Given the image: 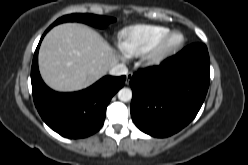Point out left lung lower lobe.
<instances>
[{
	"instance_id": "obj_1",
	"label": "left lung lower lobe",
	"mask_w": 248,
	"mask_h": 165,
	"mask_svg": "<svg viewBox=\"0 0 248 165\" xmlns=\"http://www.w3.org/2000/svg\"><path fill=\"white\" fill-rule=\"evenodd\" d=\"M209 82L207 47L193 43L159 66L133 75L131 117L141 131L153 137L175 134L197 115Z\"/></svg>"
}]
</instances>
